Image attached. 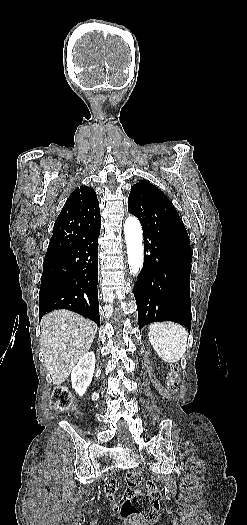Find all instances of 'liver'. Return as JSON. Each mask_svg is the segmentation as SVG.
<instances>
[{
    "instance_id": "6515ba94",
    "label": "liver",
    "mask_w": 247,
    "mask_h": 525,
    "mask_svg": "<svg viewBox=\"0 0 247 525\" xmlns=\"http://www.w3.org/2000/svg\"><path fill=\"white\" fill-rule=\"evenodd\" d=\"M40 347L53 385H62L73 367L88 353L97 325L72 311H52L41 319Z\"/></svg>"
}]
</instances>
